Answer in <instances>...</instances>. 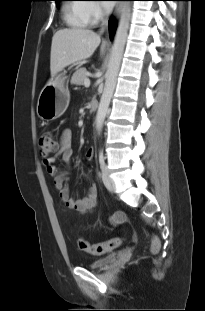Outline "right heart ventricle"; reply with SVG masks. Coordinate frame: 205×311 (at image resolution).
<instances>
[{"mask_svg": "<svg viewBox=\"0 0 205 311\" xmlns=\"http://www.w3.org/2000/svg\"><path fill=\"white\" fill-rule=\"evenodd\" d=\"M72 1L78 2L79 0ZM85 6V4L80 3L65 5L64 19L69 26L74 28H83L90 23V20L85 10Z\"/></svg>", "mask_w": 205, "mask_h": 311, "instance_id": "1", "label": "right heart ventricle"}]
</instances>
